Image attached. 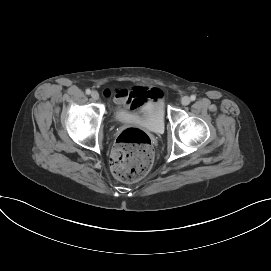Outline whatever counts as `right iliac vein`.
I'll return each mask as SVG.
<instances>
[{
	"label": "right iliac vein",
	"mask_w": 271,
	"mask_h": 271,
	"mask_svg": "<svg viewBox=\"0 0 271 271\" xmlns=\"http://www.w3.org/2000/svg\"><path fill=\"white\" fill-rule=\"evenodd\" d=\"M91 97L93 100H98L99 99V93L97 91H92Z\"/></svg>",
	"instance_id": "63e3f726"
}]
</instances>
